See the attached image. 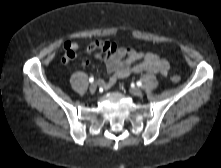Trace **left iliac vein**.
I'll list each match as a JSON object with an SVG mask.
<instances>
[{"mask_svg": "<svg viewBox=\"0 0 221 168\" xmlns=\"http://www.w3.org/2000/svg\"><path fill=\"white\" fill-rule=\"evenodd\" d=\"M130 93L135 96H141L142 90L140 88L134 87L130 89Z\"/></svg>", "mask_w": 221, "mask_h": 168, "instance_id": "left-iliac-vein-1", "label": "left iliac vein"}]
</instances>
